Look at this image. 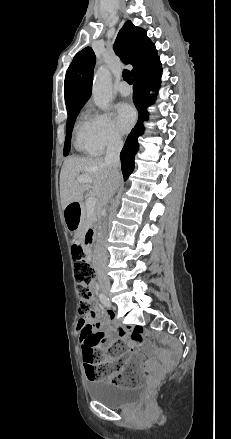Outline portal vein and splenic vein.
I'll use <instances>...</instances> for the list:
<instances>
[{
    "label": "portal vein and splenic vein",
    "instance_id": "portal-vein-and-splenic-vein-1",
    "mask_svg": "<svg viewBox=\"0 0 231 439\" xmlns=\"http://www.w3.org/2000/svg\"><path fill=\"white\" fill-rule=\"evenodd\" d=\"M91 181H92V179L87 177V176H79L76 179L77 183H89ZM95 206H96V199L94 197H89L86 201V208H87L88 212L93 213L95 210Z\"/></svg>",
    "mask_w": 231,
    "mask_h": 439
}]
</instances>
